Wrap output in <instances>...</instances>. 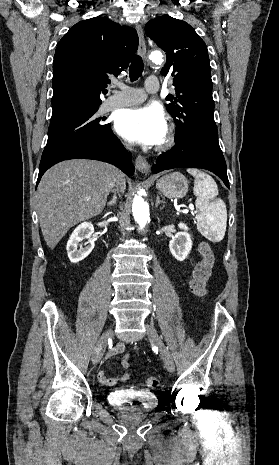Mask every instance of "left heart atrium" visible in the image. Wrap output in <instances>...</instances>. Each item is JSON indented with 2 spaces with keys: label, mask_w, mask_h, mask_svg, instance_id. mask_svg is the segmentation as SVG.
<instances>
[{
  "label": "left heart atrium",
  "mask_w": 279,
  "mask_h": 465,
  "mask_svg": "<svg viewBox=\"0 0 279 465\" xmlns=\"http://www.w3.org/2000/svg\"><path fill=\"white\" fill-rule=\"evenodd\" d=\"M116 130L129 141L157 145L167 133V122L156 106L127 109L118 115Z\"/></svg>",
  "instance_id": "39dd6f15"
}]
</instances>
